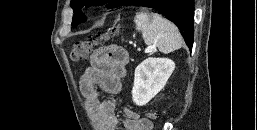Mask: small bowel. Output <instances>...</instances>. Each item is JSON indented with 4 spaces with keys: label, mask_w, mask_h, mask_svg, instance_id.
<instances>
[{
    "label": "small bowel",
    "mask_w": 257,
    "mask_h": 130,
    "mask_svg": "<svg viewBox=\"0 0 257 130\" xmlns=\"http://www.w3.org/2000/svg\"><path fill=\"white\" fill-rule=\"evenodd\" d=\"M127 52L118 46L100 48L91 55L90 66L80 78V91L98 125L99 130H117L116 103L110 97L102 100V93L111 96L121 91L122 79L126 75ZM125 130H150L151 122L129 108L124 109Z\"/></svg>",
    "instance_id": "c3829d8e"
}]
</instances>
